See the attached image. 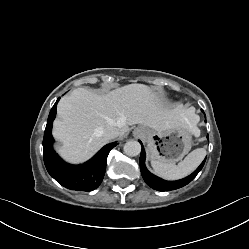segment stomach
I'll list each match as a JSON object with an SVG mask.
<instances>
[{"label":"stomach","instance_id":"stomach-1","mask_svg":"<svg viewBox=\"0 0 249 249\" xmlns=\"http://www.w3.org/2000/svg\"><path fill=\"white\" fill-rule=\"evenodd\" d=\"M144 139L147 142L149 158L165 163L182 160L192 146V132L186 124L165 131L145 128Z\"/></svg>","mask_w":249,"mask_h":249}]
</instances>
